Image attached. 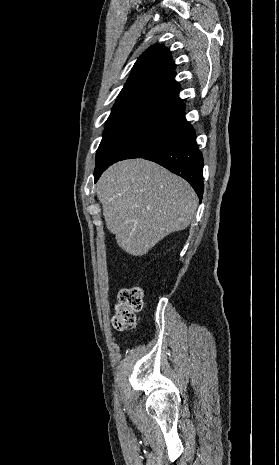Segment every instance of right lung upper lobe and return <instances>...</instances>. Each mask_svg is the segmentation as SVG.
Listing matches in <instances>:
<instances>
[{
  "mask_svg": "<svg viewBox=\"0 0 279 465\" xmlns=\"http://www.w3.org/2000/svg\"><path fill=\"white\" fill-rule=\"evenodd\" d=\"M174 68L167 48H148L136 61L105 126L134 122L182 125L185 105L178 96Z\"/></svg>",
  "mask_w": 279,
  "mask_h": 465,
  "instance_id": "right-lung-upper-lobe-1",
  "label": "right lung upper lobe"
}]
</instances>
